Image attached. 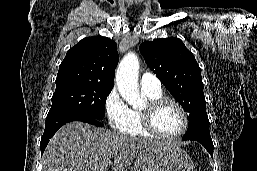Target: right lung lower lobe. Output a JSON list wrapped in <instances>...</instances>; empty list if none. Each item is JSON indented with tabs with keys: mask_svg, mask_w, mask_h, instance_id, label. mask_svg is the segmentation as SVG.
<instances>
[{
	"mask_svg": "<svg viewBox=\"0 0 257 171\" xmlns=\"http://www.w3.org/2000/svg\"><path fill=\"white\" fill-rule=\"evenodd\" d=\"M99 119L77 112H65L57 115L47 116L45 121V130L41 138L40 148L41 155L43 154L49 140L53 137L56 131L67 122L82 121L98 127L103 124L98 121Z\"/></svg>",
	"mask_w": 257,
	"mask_h": 171,
	"instance_id": "1",
	"label": "right lung lower lobe"
}]
</instances>
